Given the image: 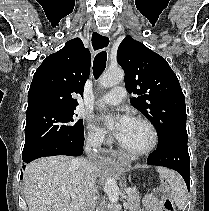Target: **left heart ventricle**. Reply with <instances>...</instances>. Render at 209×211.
Masks as SVG:
<instances>
[{
  "label": "left heart ventricle",
  "mask_w": 209,
  "mask_h": 211,
  "mask_svg": "<svg viewBox=\"0 0 209 211\" xmlns=\"http://www.w3.org/2000/svg\"><path fill=\"white\" fill-rule=\"evenodd\" d=\"M148 140L149 134L146 127L134 121L120 143L130 149H140L148 143Z\"/></svg>",
  "instance_id": "obj_1"
}]
</instances>
